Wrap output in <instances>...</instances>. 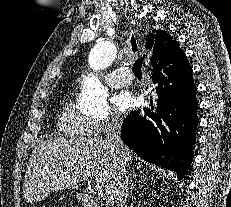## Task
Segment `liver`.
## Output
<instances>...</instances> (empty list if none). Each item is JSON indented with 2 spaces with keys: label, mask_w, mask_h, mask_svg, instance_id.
Wrapping results in <instances>:
<instances>
[{
  "label": "liver",
  "mask_w": 231,
  "mask_h": 207,
  "mask_svg": "<svg viewBox=\"0 0 231 207\" xmlns=\"http://www.w3.org/2000/svg\"><path fill=\"white\" fill-rule=\"evenodd\" d=\"M125 166L133 160L126 146ZM121 158L102 138H47L41 140L29 158L24 180V197L28 203L44 199L51 192L78 189L82 176L89 174L114 202L113 187Z\"/></svg>",
  "instance_id": "1"
}]
</instances>
